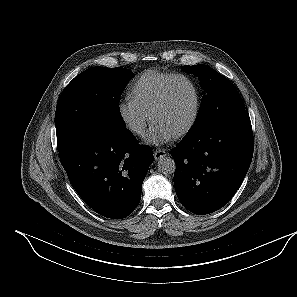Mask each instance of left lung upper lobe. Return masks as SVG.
Listing matches in <instances>:
<instances>
[{
  "mask_svg": "<svg viewBox=\"0 0 297 297\" xmlns=\"http://www.w3.org/2000/svg\"><path fill=\"white\" fill-rule=\"evenodd\" d=\"M182 69L196 75L204 91L200 110L190 131L203 128L234 111L245 109L235 86L211 67L199 64L183 66Z\"/></svg>",
  "mask_w": 297,
  "mask_h": 297,
  "instance_id": "obj_1",
  "label": "left lung upper lobe"
}]
</instances>
